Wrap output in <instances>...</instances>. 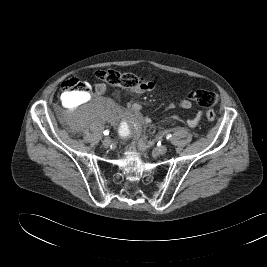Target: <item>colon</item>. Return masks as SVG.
<instances>
[{"label":"colon","mask_w":267,"mask_h":267,"mask_svg":"<svg viewBox=\"0 0 267 267\" xmlns=\"http://www.w3.org/2000/svg\"><path fill=\"white\" fill-rule=\"evenodd\" d=\"M96 78L115 87L125 89H137L149 86L148 81L130 72H120L117 70H99L95 72ZM62 91L65 94L78 96L88 92V86L76 79H70L62 83ZM189 98L206 109L205 117L208 121L216 118L212 107L218 102L216 93L207 90H197L189 94Z\"/></svg>","instance_id":"1"}]
</instances>
